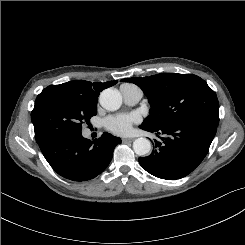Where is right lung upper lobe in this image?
<instances>
[{
	"label": "right lung upper lobe",
	"mask_w": 245,
	"mask_h": 245,
	"mask_svg": "<svg viewBox=\"0 0 245 245\" xmlns=\"http://www.w3.org/2000/svg\"><path fill=\"white\" fill-rule=\"evenodd\" d=\"M118 81H108L105 83H92L84 80H74L59 86L79 95L87 100L96 101L100 92L108 87L115 85Z\"/></svg>",
	"instance_id": "obj_1"
}]
</instances>
